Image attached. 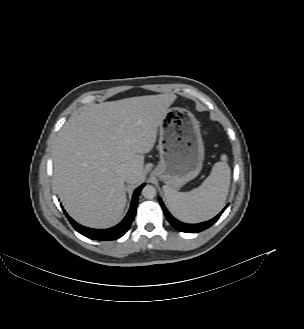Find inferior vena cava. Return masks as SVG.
<instances>
[{
	"instance_id": "inferior-vena-cava-1",
	"label": "inferior vena cava",
	"mask_w": 304,
	"mask_h": 329,
	"mask_svg": "<svg viewBox=\"0 0 304 329\" xmlns=\"http://www.w3.org/2000/svg\"><path fill=\"white\" fill-rule=\"evenodd\" d=\"M121 175L125 180H127L130 177L131 174L128 170H122Z\"/></svg>"
}]
</instances>
